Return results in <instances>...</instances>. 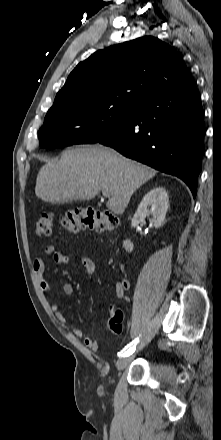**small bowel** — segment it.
<instances>
[{
	"mask_svg": "<svg viewBox=\"0 0 221 440\" xmlns=\"http://www.w3.org/2000/svg\"><path fill=\"white\" fill-rule=\"evenodd\" d=\"M45 253L47 255H50L56 264H67L70 261L69 256H67L66 254H64L61 251L56 250L53 246H47L45 248ZM78 260L81 263V265L84 267V269L88 275H92L95 272L96 267H95V263L92 259H90L88 257H79ZM32 267H33V272L38 280L40 288L44 292L48 293L50 291V285L43 278V274L45 272V262H44L43 258L37 257L33 261ZM128 286H129V283L127 280L119 281L116 284V295L120 298L123 297ZM61 290H62V293L66 296H71L74 294V287L69 282L63 283L61 286ZM51 310L54 313L56 319L60 323L67 322L66 315L62 311H60L58 304H52ZM107 310H108L109 316H111L114 313V311L117 310V305L110 304L108 306ZM72 333L75 337L82 338L83 343L85 344V346L88 349H90L92 351H96L99 348L98 342L90 336H84L83 330L81 328L74 327L72 329Z\"/></svg>",
	"mask_w": 221,
	"mask_h": 440,
	"instance_id": "c3829d8e",
	"label": "small bowel"
}]
</instances>
